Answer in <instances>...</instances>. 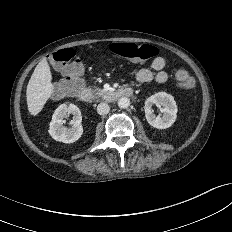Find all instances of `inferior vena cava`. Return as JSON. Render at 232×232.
Segmentation results:
<instances>
[{
  "mask_svg": "<svg viewBox=\"0 0 232 232\" xmlns=\"http://www.w3.org/2000/svg\"><path fill=\"white\" fill-rule=\"evenodd\" d=\"M109 110H110V107H109V105L107 103H100L97 106V112L100 115H106V114H108Z\"/></svg>",
  "mask_w": 232,
  "mask_h": 232,
  "instance_id": "1",
  "label": "inferior vena cava"
}]
</instances>
